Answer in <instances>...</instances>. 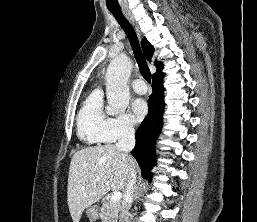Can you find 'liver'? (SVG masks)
Segmentation results:
<instances>
[{
    "instance_id": "1",
    "label": "liver",
    "mask_w": 257,
    "mask_h": 222,
    "mask_svg": "<svg viewBox=\"0 0 257 222\" xmlns=\"http://www.w3.org/2000/svg\"><path fill=\"white\" fill-rule=\"evenodd\" d=\"M136 161L115 145L87 147L74 153L68 176L67 203L73 222L110 189L125 190Z\"/></svg>"
}]
</instances>
